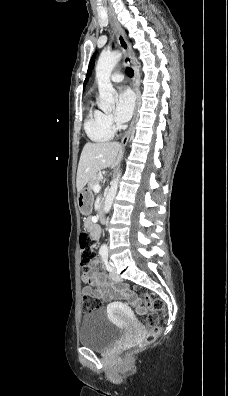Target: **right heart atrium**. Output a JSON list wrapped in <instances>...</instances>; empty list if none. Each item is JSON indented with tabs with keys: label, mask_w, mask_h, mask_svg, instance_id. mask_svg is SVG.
Here are the masks:
<instances>
[{
	"label": "right heart atrium",
	"mask_w": 228,
	"mask_h": 396,
	"mask_svg": "<svg viewBox=\"0 0 228 396\" xmlns=\"http://www.w3.org/2000/svg\"><path fill=\"white\" fill-rule=\"evenodd\" d=\"M104 120L109 127L113 128V129L116 128L117 123L111 114H108V113L104 114Z\"/></svg>",
	"instance_id": "1"
}]
</instances>
